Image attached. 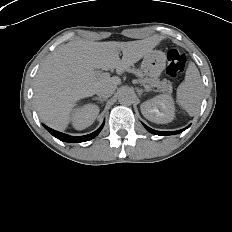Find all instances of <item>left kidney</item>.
<instances>
[{"mask_svg": "<svg viewBox=\"0 0 232 232\" xmlns=\"http://www.w3.org/2000/svg\"><path fill=\"white\" fill-rule=\"evenodd\" d=\"M143 116L154 123H168L174 119L175 106L172 97L160 94L141 104Z\"/></svg>", "mask_w": 232, "mask_h": 232, "instance_id": "5707ae66", "label": "left kidney"}]
</instances>
